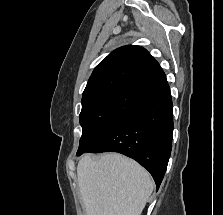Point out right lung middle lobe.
<instances>
[{
  "label": "right lung middle lobe",
  "mask_w": 223,
  "mask_h": 215,
  "mask_svg": "<svg viewBox=\"0 0 223 215\" xmlns=\"http://www.w3.org/2000/svg\"><path fill=\"white\" fill-rule=\"evenodd\" d=\"M143 97L131 91L115 90L82 102L79 119L83 131L77 156L92 148Z\"/></svg>",
  "instance_id": "right-lung-middle-lobe-1"
}]
</instances>
